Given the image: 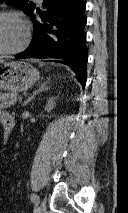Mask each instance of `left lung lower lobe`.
<instances>
[{
    "label": "left lung lower lobe",
    "instance_id": "0a47b994",
    "mask_svg": "<svg viewBox=\"0 0 128 213\" xmlns=\"http://www.w3.org/2000/svg\"><path fill=\"white\" fill-rule=\"evenodd\" d=\"M41 13L36 10L28 15L33 21V39L30 46L16 58H58L67 64L80 78L82 87L86 84L88 51L84 26L86 19L84 0H44ZM42 21L35 20L34 11Z\"/></svg>",
    "mask_w": 128,
    "mask_h": 213
}]
</instances>
